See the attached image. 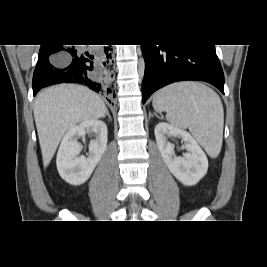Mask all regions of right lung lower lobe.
Here are the masks:
<instances>
[{
	"mask_svg": "<svg viewBox=\"0 0 267 267\" xmlns=\"http://www.w3.org/2000/svg\"><path fill=\"white\" fill-rule=\"evenodd\" d=\"M110 47L81 49L64 45H41L33 76V93L59 83H75L97 93L115 97L110 80Z\"/></svg>",
	"mask_w": 267,
	"mask_h": 267,
	"instance_id": "98d812e1",
	"label": "right lung lower lobe"
}]
</instances>
